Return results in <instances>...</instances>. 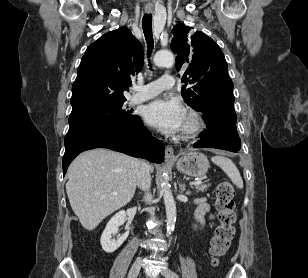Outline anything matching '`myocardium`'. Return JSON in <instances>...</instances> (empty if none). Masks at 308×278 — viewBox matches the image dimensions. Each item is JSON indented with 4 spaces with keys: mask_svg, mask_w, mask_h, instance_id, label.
Listing matches in <instances>:
<instances>
[{
    "mask_svg": "<svg viewBox=\"0 0 308 278\" xmlns=\"http://www.w3.org/2000/svg\"><path fill=\"white\" fill-rule=\"evenodd\" d=\"M188 125L182 129L180 137L182 139H190L198 136L205 127V121L200 112L189 109L186 112Z\"/></svg>",
    "mask_w": 308,
    "mask_h": 278,
    "instance_id": "f54148a6",
    "label": "myocardium"
}]
</instances>
